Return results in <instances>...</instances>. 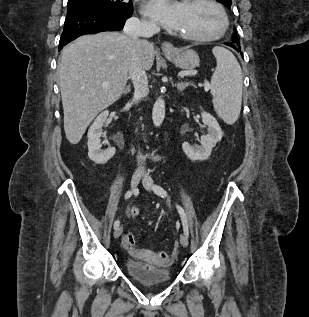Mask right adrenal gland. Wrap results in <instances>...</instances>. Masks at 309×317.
Instances as JSON below:
<instances>
[{
	"instance_id": "right-adrenal-gland-1",
	"label": "right adrenal gland",
	"mask_w": 309,
	"mask_h": 317,
	"mask_svg": "<svg viewBox=\"0 0 309 317\" xmlns=\"http://www.w3.org/2000/svg\"><path fill=\"white\" fill-rule=\"evenodd\" d=\"M131 91V86L128 85L127 87H125L124 89V94L126 95L127 93H129Z\"/></svg>"
}]
</instances>
